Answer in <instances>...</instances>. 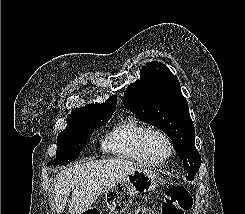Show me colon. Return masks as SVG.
Returning <instances> with one entry per match:
<instances>
[{"instance_id": "obj_1", "label": "colon", "mask_w": 245, "mask_h": 214, "mask_svg": "<svg viewBox=\"0 0 245 214\" xmlns=\"http://www.w3.org/2000/svg\"><path fill=\"white\" fill-rule=\"evenodd\" d=\"M192 206V197L189 192L180 186L172 187L164 196L161 214H184ZM145 214H155L149 210Z\"/></svg>"}]
</instances>
